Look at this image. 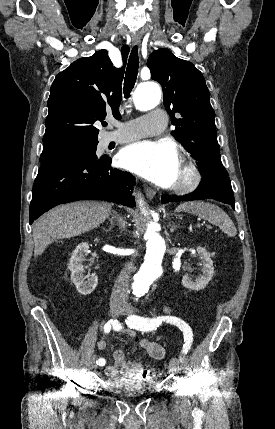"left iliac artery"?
Here are the masks:
<instances>
[{
  "label": "left iliac artery",
  "instance_id": "obj_1",
  "mask_svg": "<svg viewBox=\"0 0 275 429\" xmlns=\"http://www.w3.org/2000/svg\"><path fill=\"white\" fill-rule=\"evenodd\" d=\"M126 322L129 327L142 331L156 330V328L159 327L162 322L177 326L184 335V345L182 350L183 354L188 352L193 342V332L191 327L178 317L162 316L157 318H144L137 315H131L127 318Z\"/></svg>",
  "mask_w": 275,
  "mask_h": 429
}]
</instances>
